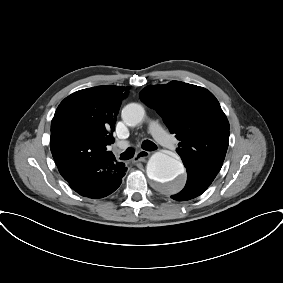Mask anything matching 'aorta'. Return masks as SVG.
Wrapping results in <instances>:
<instances>
[{"instance_id": "aorta-1", "label": "aorta", "mask_w": 283, "mask_h": 283, "mask_svg": "<svg viewBox=\"0 0 283 283\" xmlns=\"http://www.w3.org/2000/svg\"><path fill=\"white\" fill-rule=\"evenodd\" d=\"M144 115V108L137 103L126 105L121 114L124 123L128 126H136L141 123ZM146 172L147 176L164 191L176 193L184 187L183 164L164 152H156L150 157Z\"/></svg>"}]
</instances>
